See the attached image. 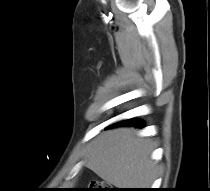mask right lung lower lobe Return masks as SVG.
I'll return each mask as SVG.
<instances>
[{
  "mask_svg": "<svg viewBox=\"0 0 210 191\" xmlns=\"http://www.w3.org/2000/svg\"><path fill=\"white\" fill-rule=\"evenodd\" d=\"M116 125H132V126H136V127H143L144 122L141 120L132 119V120L120 121V122L116 123L115 126Z\"/></svg>",
  "mask_w": 210,
  "mask_h": 191,
  "instance_id": "obj_1",
  "label": "right lung lower lobe"
}]
</instances>
